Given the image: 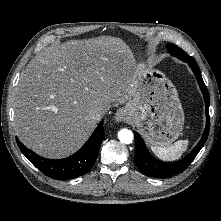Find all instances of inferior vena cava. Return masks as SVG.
Masks as SVG:
<instances>
[{"instance_id": "602c4592", "label": "inferior vena cava", "mask_w": 221, "mask_h": 221, "mask_svg": "<svg viewBox=\"0 0 221 221\" xmlns=\"http://www.w3.org/2000/svg\"><path fill=\"white\" fill-rule=\"evenodd\" d=\"M105 111L102 110H94L91 112L90 116L92 119L99 121L104 116Z\"/></svg>"}]
</instances>
